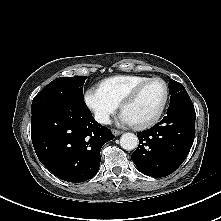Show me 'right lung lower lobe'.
I'll use <instances>...</instances> for the list:
<instances>
[{"label":"right lung lower lobe","mask_w":221,"mask_h":221,"mask_svg":"<svg viewBox=\"0 0 221 221\" xmlns=\"http://www.w3.org/2000/svg\"><path fill=\"white\" fill-rule=\"evenodd\" d=\"M31 138L40 162L58 178L80 183L100 166V150L114 138L84 102L55 105L32 113Z\"/></svg>","instance_id":"1"}]
</instances>
